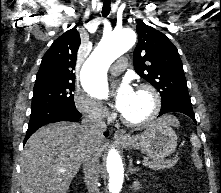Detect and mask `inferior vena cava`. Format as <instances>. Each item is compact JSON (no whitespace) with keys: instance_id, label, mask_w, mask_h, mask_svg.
<instances>
[{"instance_id":"obj_1","label":"inferior vena cava","mask_w":221,"mask_h":193,"mask_svg":"<svg viewBox=\"0 0 221 193\" xmlns=\"http://www.w3.org/2000/svg\"><path fill=\"white\" fill-rule=\"evenodd\" d=\"M82 128L86 132L87 145L83 153V172L89 193H99V153L98 141L103 138L107 126L100 114L90 113L82 120Z\"/></svg>"}]
</instances>
